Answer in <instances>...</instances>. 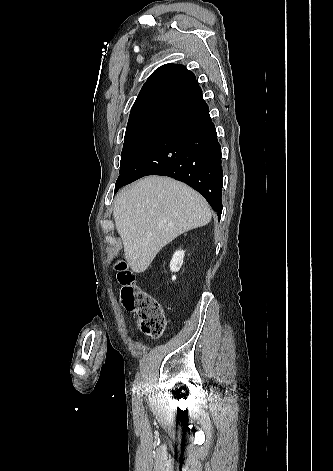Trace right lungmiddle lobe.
<instances>
[{
    "label": "right lung middle lobe",
    "instance_id": "1",
    "mask_svg": "<svg viewBox=\"0 0 333 471\" xmlns=\"http://www.w3.org/2000/svg\"><path fill=\"white\" fill-rule=\"evenodd\" d=\"M175 120L158 115L129 117L121 154L119 177L152 140Z\"/></svg>",
    "mask_w": 333,
    "mask_h": 471
}]
</instances>
